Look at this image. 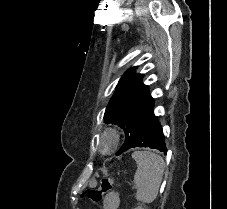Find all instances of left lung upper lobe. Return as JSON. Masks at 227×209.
Listing matches in <instances>:
<instances>
[{
  "mask_svg": "<svg viewBox=\"0 0 227 209\" xmlns=\"http://www.w3.org/2000/svg\"><path fill=\"white\" fill-rule=\"evenodd\" d=\"M136 68L129 69L121 77L104 115L105 123L118 124L125 132V143L116 155L128 150L138 125L154 105L148 86L142 83L143 74H137Z\"/></svg>",
  "mask_w": 227,
  "mask_h": 209,
  "instance_id": "left-lung-upper-lobe-1",
  "label": "left lung upper lobe"
}]
</instances>
